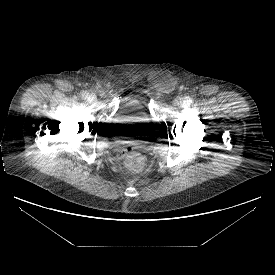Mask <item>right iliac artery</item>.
<instances>
[{
  "label": "right iliac artery",
  "mask_w": 275,
  "mask_h": 275,
  "mask_svg": "<svg viewBox=\"0 0 275 275\" xmlns=\"http://www.w3.org/2000/svg\"><path fill=\"white\" fill-rule=\"evenodd\" d=\"M87 95H88V94H87L86 92H83V93H82V97H83V98H86Z\"/></svg>",
  "instance_id": "obj_1"
}]
</instances>
